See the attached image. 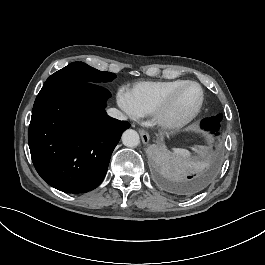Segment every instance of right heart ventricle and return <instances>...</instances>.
I'll use <instances>...</instances> for the list:
<instances>
[{
    "label": "right heart ventricle",
    "instance_id": "1",
    "mask_svg": "<svg viewBox=\"0 0 265 265\" xmlns=\"http://www.w3.org/2000/svg\"><path fill=\"white\" fill-rule=\"evenodd\" d=\"M184 80L173 78L163 81H142L132 85L129 90L140 117L152 114Z\"/></svg>",
    "mask_w": 265,
    "mask_h": 265
}]
</instances>
